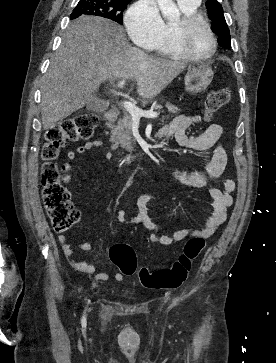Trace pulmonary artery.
<instances>
[{
  "instance_id": "e3ab8cb5",
  "label": "pulmonary artery",
  "mask_w": 276,
  "mask_h": 363,
  "mask_svg": "<svg viewBox=\"0 0 276 363\" xmlns=\"http://www.w3.org/2000/svg\"><path fill=\"white\" fill-rule=\"evenodd\" d=\"M178 3L187 4V5H195L198 4L200 0H177Z\"/></svg>"
}]
</instances>
